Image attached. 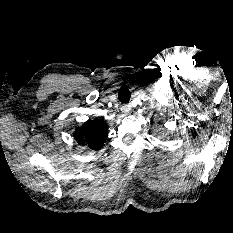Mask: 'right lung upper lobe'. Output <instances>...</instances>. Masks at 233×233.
<instances>
[{
  "label": "right lung upper lobe",
  "instance_id": "obj_1",
  "mask_svg": "<svg viewBox=\"0 0 233 233\" xmlns=\"http://www.w3.org/2000/svg\"><path fill=\"white\" fill-rule=\"evenodd\" d=\"M108 126L100 120H91L77 128L74 138L82 146H87L92 150L100 149L107 139Z\"/></svg>",
  "mask_w": 233,
  "mask_h": 233
}]
</instances>
